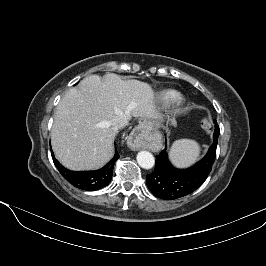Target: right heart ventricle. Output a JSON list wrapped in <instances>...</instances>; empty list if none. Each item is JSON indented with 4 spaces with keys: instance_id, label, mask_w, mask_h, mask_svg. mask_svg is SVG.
Segmentation results:
<instances>
[{
    "instance_id": "e07e8e85",
    "label": "right heart ventricle",
    "mask_w": 266,
    "mask_h": 266,
    "mask_svg": "<svg viewBox=\"0 0 266 266\" xmlns=\"http://www.w3.org/2000/svg\"><path fill=\"white\" fill-rule=\"evenodd\" d=\"M161 102L166 106L180 104L183 100L180 93L174 90H167L160 96Z\"/></svg>"
}]
</instances>
